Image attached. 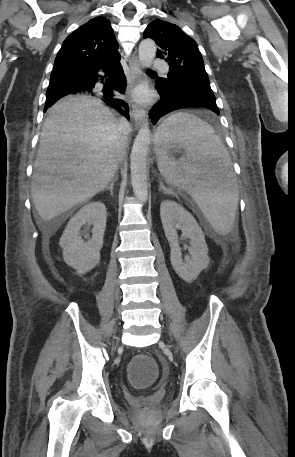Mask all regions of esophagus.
<instances>
[{
    "mask_svg": "<svg viewBox=\"0 0 295 457\" xmlns=\"http://www.w3.org/2000/svg\"><path fill=\"white\" fill-rule=\"evenodd\" d=\"M141 75L140 65L136 55H133L130 59V79H131V86L133 87L135 84L136 78ZM132 117L134 118L136 124L138 126H142L147 122V113L146 110L140 108L136 105H132L131 111Z\"/></svg>",
    "mask_w": 295,
    "mask_h": 457,
    "instance_id": "esophagus-1",
    "label": "esophagus"
}]
</instances>
